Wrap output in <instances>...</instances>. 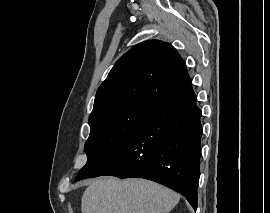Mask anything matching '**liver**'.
I'll list each match as a JSON object with an SVG mask.
<instances>
[{"label":"liver","mask_w":270,"mask_h":213,"mask_svg":"<svg viewBox=\"0 0 270 213\" xmlns=\"http://www.w3.org/2000/svg\"><path fill=\"white\" fill-rule=\"evenodd\" d=\"M180 196L143 179L99 178L85 189L82 213H169Z\"/></svg>","instance_id":"6515ba94"}]
</instances>
